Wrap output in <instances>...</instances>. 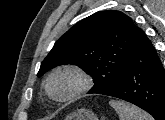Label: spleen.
<instances>
[{"instance_id": "spleen-1", "label": "spleen", "mask_w": 165, "mask_h": 120, "mask_svg": "<svg viewBox=\"0 0 165 120\" xmlns=\"http://www.w3.org/2000/svg\"><path fill=\"white\" fill-rule=\"evenodd\" d=\"M110 106L115 109L120 120H154L139 107L120 100H110Z\"/></svg>"}]
</instances>
